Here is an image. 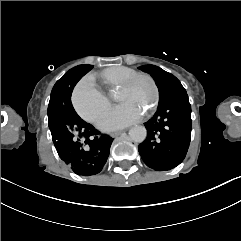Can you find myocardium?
Wrapping results in <instances>:
<instances>
[{
    "mask_svg": "<svg viewBox=\"0 0 241 241\" xmlns=\"http://www.w3.org/2000/svg\"><path fill=\"white\" fill-rule=\"evenodd\" d=\"M147 74L146 73H131V74H127L125 76H123L122 80H121V85H126L129 86L130 83L134 80H136L137 78H146ZM149 80L153 79L152 75L148 76ZM152 83L154 84V93H153V98H152V102L149 105L150 109H153L154 106L156 105V101L158 99V92H159V85H158V80L157 79H153Z\"/></svg>",
    "mask_w": 241,
    "mask_h": 241,
    "instance_id": "1",
    "label": "myocardium"
}]
</instances>
